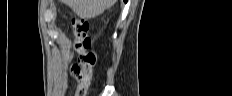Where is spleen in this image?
<instances>
[{"label":"spleen","mask_w":232,"mask_h":96,"mask_svg":"<svg viewBox=\"0 0 232 96\" xmlns=\"http://www.w3.org/2000/svg\"><path fill=\"white\" fill-rule=\"evenodd\" d=\"M74 13L82 19L95 18L110 8L114 0H64Z\"/></svg>","instance_id":"3e777b00"}]
</instances>
